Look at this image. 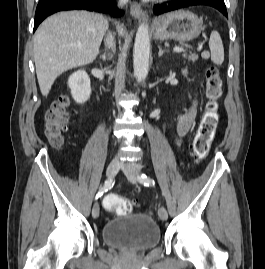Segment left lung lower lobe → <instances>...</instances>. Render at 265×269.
Here are the masks:
<instances>
[{"mask_svg": "<svg viewBox=\"0 0 265 269\" xmlns=\"http://www.w3.org/2000/svg\"><path fill=\"white\" fill-rule=\"evenodd\" d=\"M193 5H208V6L216 8L225 16H228L224 0H180L168 6L156 7L154 9V13L159 15L165 12H169V11H173V10H177L180 8L189 7Z\"/></svg>", "mask_w": 265, "mask_h": 269, "instance_id": "1", "label": "left lung lower lobe"}]
</instances>
